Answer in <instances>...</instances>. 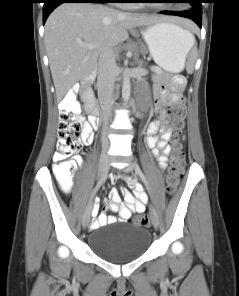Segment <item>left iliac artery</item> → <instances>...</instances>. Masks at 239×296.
Wrapping results in <instances>:
<instances>
[{
    "label": "left iliac artery",
    "mask_w": 239,
    "mask_h": 296,
    "mask_svg": "<svg viewBox=\"0 0 239 296\" xmlns=\"http://www.w3.org/2000/svg\"><path fill=\"white\" fill-rule=\"evenodd\" d=\"M134 166H135V170L136 172L140 175L142 181H143V185H146L147 184V181H146V177L144 176V174L142 173L139 165L137 162H134ZM150 186L147 184L146 185V188L148 189ZM145 193V192H144ZM148 198V197H147ZM144 203H147V202H144Z\"/></svg>",
    "instance_id": "obj_1"
}]
</instances>
